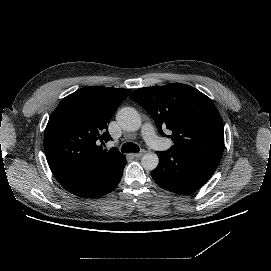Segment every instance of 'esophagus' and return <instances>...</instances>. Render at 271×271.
I'll return each instance as SVG.
<instances>
[{"label": "esophagus", "instance_id": "34e87169", "mask_svg": "<svg viewBox=\"0 0 271 271\" xmlns=\"http://www.w3.org/2000/svg\"><path fill=\"white\" fill-rule=\"evenodd\" d=\"M143 154H145V150H144V149L141 150V151L138 152V153H135V154H134V157H135V158H140V157L143 156Z\"/></svg>", "mask_w": 271, "mask_h": 271}]
</instances>
